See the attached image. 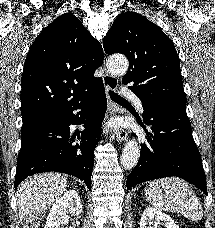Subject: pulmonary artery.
I'll return each mask as SVG.
<instances>
[{
    "label": "pulmonary artery",
    "instance_id": "e3ab8cb5",
    "mask_svg": "<svg viewBox=\"0 0 215 228\" xmlns=\"http://www.w3.org/2000/svg\"><path fill=\"white\" fill-rule=\"evenodd\" d=\"M133 84H121L120 88H117L119 96H131L129 102H135L134 109L139 110L140 113L144 112L145 106L142 104V97H137L132 94Z\"/></svg>",
    "mask_w": 215,
    "mask_h": 228
}]
</instances>
